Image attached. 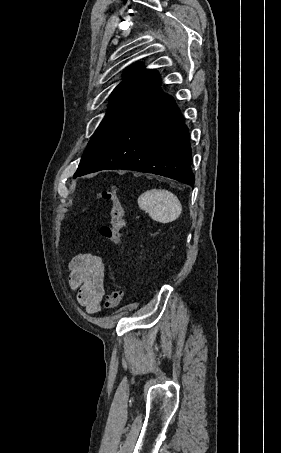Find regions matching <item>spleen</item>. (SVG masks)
<instances>
[{
    "label": "spleen",
    "instance_id": "1",
    "mask_svg": "<svg viewBox=\"0 0 281 453\" xmlns=\"http://www.w3.org/2000/svg\"><path fill=\"white\" fill-rule=\"evenodd\" d=\"M138 204L142 210L158 222H172L181 214L182 204L176 194L162 188H152L140 194Z\"/></svg>",
    "mask_w": 281,
    "mask_h": 453
}]
</instances>
